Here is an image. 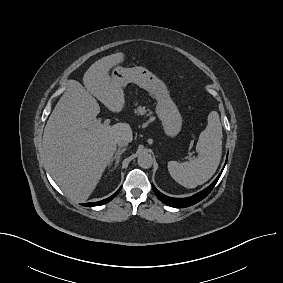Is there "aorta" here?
I'll list each match as a JSON object with an SVG mask.
<instances>
[{
	"mask_svg": "<svg viewBox=\"0 0 283 283\" xmlns=\"http://www.w3.org/2000/svg\"><path fill=\"white\" fill-rule=\"evenodd\" d=\"M137 162L140 167L149 168L153 164V158L151 154L143 152L138 156Z\"/></svg>",
	"mask_w": 283,
	"mask_h": 283,
	"instance_id": "762f6f07",
	"label": "aorta"
}]
</instances>
